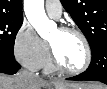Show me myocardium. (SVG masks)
Listing matches in <instances>:
<instances>
[{"label": "myocardium", "instance_id": "obj_1", "mask_svg": "<svg viewBox=\"0 0 107 89\" xmlns=\"http://www.w3.org/2000/svg\"><path fill=\"white\" fill-rule=\"evenodd\" d=\"M59 31L75 34L81 39L84 49H85V60H84L83 65L77 69L67 68L60 62L53 45L49 42V47H50V51H51V60H52V63L54 65L55 69L62 73L70 74V75H76V74H80V73L84 72L86 69H88V67L90 66L91 61H92V50H91V46H90V43H89L87 37L81 30H79L78 28H75V27H71V26L60 27Z\"/></svg>", "mask_w": 107, "mask_h": 89}]
</instances>
